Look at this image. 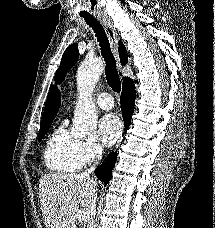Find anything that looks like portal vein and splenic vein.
Returning <instances> with one entry per match:
<instances>
[{"label": "portal vein and splenic vein", "mask_w": 215, "mask_h": 228, "mask_svg": "<svg viewBox=\"0 0 215 228\" xmlns=\"http://www.w3.org/2000/svg\"><path fill=\"white\" fill-rule=\"evenodd\" d=\"M80 214L82 216V222H87V220H89L90 214H89L88 210H82V212H80Z\"/></svg>", "instance_id": "obj_1"}]
</instances>
